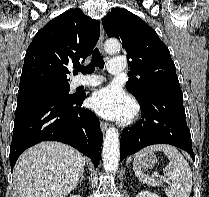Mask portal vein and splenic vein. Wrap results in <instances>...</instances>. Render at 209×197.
<instances>
[{"label":"portal vein and splenic vein","instance_id":"portal-vein-and-splenic-vein-1","mask_svg":"<svg viewBox=\"0 0 209 197\" xmlns=\"http://www.w3.org/2000/svg\"><path fill=\"white\" fill-rule=\"evenodd\" d=\"M157 177H160L161 179H163L164 181L168 182V179L163 177V176H159L158 174H156Z\"/></svg>","mask_w":209,"mask_h":197}]
</instances>
